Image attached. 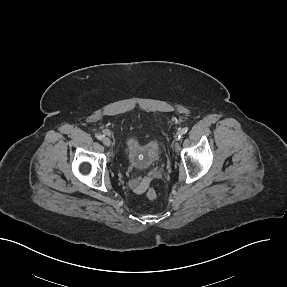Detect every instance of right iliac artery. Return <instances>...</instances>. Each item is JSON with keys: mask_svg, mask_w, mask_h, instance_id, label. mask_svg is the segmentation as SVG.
Segmentation results:
<instances>
[{"mask_svg": "<svg viewBox=\"0 0 287 287\" xmlns=\"http://www.w3.org/2000/svg\"><path fill=\"white\" fill-rule=\"evenodd\" d=\"M96 137H97L98 140H102L104 138V136L101 135V134H97Z\"/></svg>", "mask_w": 287, "mask_h": 287, "instance_id": "obj_1", "label": "right iliac artery"}]
</instances>
